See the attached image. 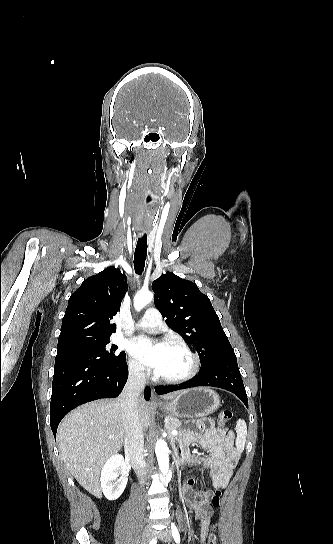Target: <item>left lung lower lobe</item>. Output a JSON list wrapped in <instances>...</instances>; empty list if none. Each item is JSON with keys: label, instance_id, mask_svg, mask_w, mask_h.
<instances>
[{"label": "left lung lower lobe", "instance_id": "left-lung-lower-lobe-1", "mask_svg": "<svg viewBox=\"0 0 333 544\" xmlns=\"http://www.w3.org/2000/svg\"><path fill=\"white\" fill-rule=\"evenodd\" d=\"M197 386H213L234 393L248 408L247 394L243 385L237 361H216L205 368H201L199 374L189 382L179 386H158L155 388L159 395L172 391Z\"/></svg>", "mask_w": 333, "mask_h": 544}]
</instances>
